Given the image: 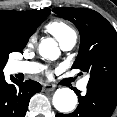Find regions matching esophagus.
I'll return each instance as SVG.
<instances>
[{
  "mask_svg": "<svg viewBox=\"0 0 117 117\" xmlns=\"http://www.w3.org/2000/svg\"><path fill=\"white\" fill-rule=\"evenodd\" d=\"M56 89V86L53 84L46 83L43 85V90L44 91H53Z\"/></svg>",
  "mask_w": 117,
  "mask_h": 117,
  "instance_id": "obj_1",
  "label": "esophagus"
}]
</instances>
